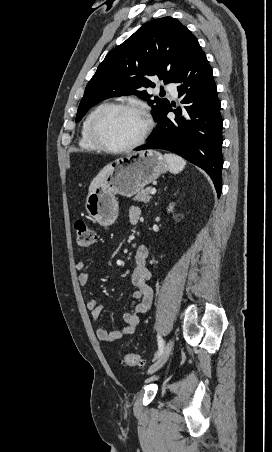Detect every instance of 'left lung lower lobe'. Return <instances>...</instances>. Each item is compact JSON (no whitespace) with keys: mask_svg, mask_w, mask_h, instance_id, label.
Segmentation results:
<instances>
[{"mask_svg":"<svg viewBox=\"0 0 272 452\" xmlns=\"http://www.w3.org/2000/svg\"><path fill=\"white\" fill-rule=\"evenodd\" d=\"M178 83L183 107L170 103L157 118L158 125L149 141L135 150L165 149L199 166L212 178L218 197L221 194L222 118L212 69L197 42L174 80ZM175 118H168V112Z\"/></svg>","mask_w":272,"mask_h":452,"instance_id":"left-lung-lower-lobe-1","label":"left lung lower lobe"}]
</instances>
